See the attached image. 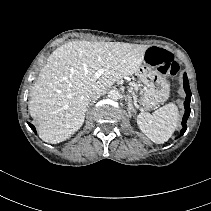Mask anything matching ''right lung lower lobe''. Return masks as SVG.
<instances>
[{"instance_id": "obj_1", "label": "right lung lower lobe", "mask_w": 211, "mask_h": 211, "mask_svg": "<svg viewBox=\"0 0 211 211\" xmlns=\"http://www.w3.org/2000/svg\"><path fill=\"white\" fill-rule=\"evenodd\" d=\"M28 125L30 126V128L34 131V133H36V129H35V127L31 124V123H29L28 122Z\"/></svg>"}]
</instances>
